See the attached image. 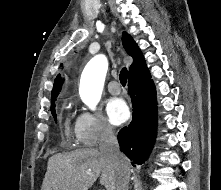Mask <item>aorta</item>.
Wrapping results in <instances>:
<instances>
[{"label":"aorta","instance_id":"obj_1","mask_svg":"<svg viewBox=\"0 0 221 190\" xmlns=\"http://www.w3.org/2000/svg\"><path fill=\"white\" fill-rule=\"evenodd\" d=\"M107 69L108 60L105 55L100 54L92 58L83 70L79 94L91 110H95L100 101Z\"/></svg>","mask_w":221,"mask_h":190}]
</instances>
